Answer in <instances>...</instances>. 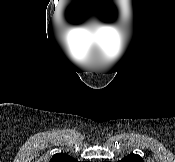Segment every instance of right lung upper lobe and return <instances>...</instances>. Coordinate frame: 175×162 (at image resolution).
<instances>
[{"label":"right lung upper lobe","instance_id":"right-lung-upper-lobe-1","mask_svg":"<svg viewBox=\"0 0 175 162\" xmlns=\"http://www.w3.org/2000/svg\"><path fill=\"white\" fill-rule=\"evenodd\" d=\"M49 162H78V161L65 153H57L52 156Z\"/></svg>","mask_w":175,"mask_h":162}]
</instances>
